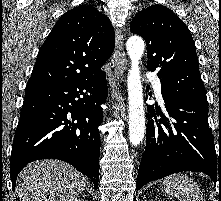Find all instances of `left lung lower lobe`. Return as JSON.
I'll list each match as a JSON object with an SVG mask.
<instances>
[{"instance_id":"1","label":"left lung lower lobe","mask_w":221,"mask_h":201,"mask_svg":"<svg viewBox=\"0 0 221 201\" xmlns=\"http://www.w3.org/2000/svg\"><path fill=\"white\" fill-rule=\"evenodd\" d=\"M166 115L148 105L146 148L139 166L136 189L167 175L204 172L221 182V156L215 151L208 125L207 99L162 93ZM156 114L162 117L157 119ZM154 117V119L152 118Z\"/></svg>"}]
</instances>
